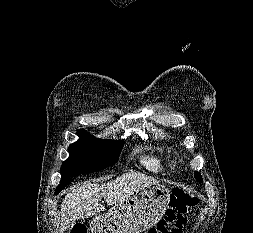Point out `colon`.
I'll return each mask as SVG.
<instances>
[{
	"label": "colon",
	"mask_w": 253,
	"mask_h": 233,
	"mask_svg": "<svg viewBox=\"0 0 253 233\" xmlns=\"http://www.w3.org/2000/svg\"><path fill=\"white\" fill-rule=\"evenodd\" d=\"M199 203V197L181 188L172 189L164 217L147 233H181L188 216ZM70 233H87V229L78 223L71 227Z\"/></svg>",
	"instance_id": "obj_1"
}]
</instances>
